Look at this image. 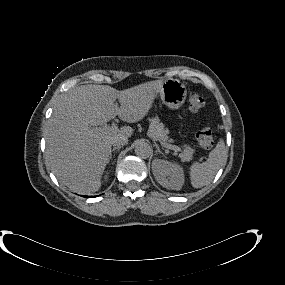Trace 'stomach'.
I'll list each match as a JSON object with an SVG mask.
<instances>
[{
	"label": "stomach",
	"mask_w": 285,
	"mask_h": 285,
	"mask_svg": "<svg viewBox=\"0 0 285 285\" xmlns=\"http://www.w3.org/2000/svg\"><path fill=\"white\" fill-rule=\"evenodd\" d=\"M163 104L171 110H178L185 102L187 90L185 85L177 79L165 80L157 90Z\"/></svg>",
	"instance_id": "obj_1"
}]
</instances>
